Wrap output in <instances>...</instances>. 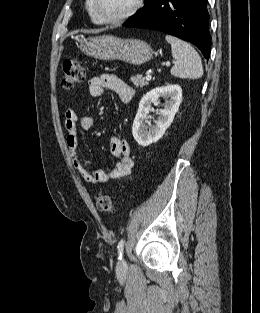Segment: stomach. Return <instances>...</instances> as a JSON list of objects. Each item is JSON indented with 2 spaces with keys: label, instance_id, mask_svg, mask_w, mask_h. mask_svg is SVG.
Listing matches in <instances>:
<instances>
[{
  "label": "stomach",
  "instance_id": "0dacf381",
  "mask_svg": "<svg viewBox=\"0 0 260 313\" xmlns=\"http://www.w3.org/2000/svg\"><path fill=\"white\" fill-rule=\"evenodd\" d=\"M80 50L101 60H121L133 65L148 62L153 56L152 47L139 39H121L112 35H100L80 40Z\"/></svg>",
  "mask_w": 260,
  "mask_h": 313
}]
</instances>
